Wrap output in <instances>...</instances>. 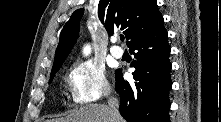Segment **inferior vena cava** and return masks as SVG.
Masks as SVG:
<instances>
[{
	"instance_id": "obj_1",
	"label": "inferior vena cava",
	"mask_w": 221,
	"mask_h": 122,
	"mask_svg": "<svg viewBox=\"0 0 221 122\" xmlns=\"http://www.w3.org/2000/svg\"><path fill=\"white\" fill-rule=\"evenodd\" d=\"M106 93L109 95L111 93V91L107 90ZM108 105H109L110 113H111L113 119H115L117 117V115L119 114V112H118L119 102L115 97H110L108 99Z\"/></svg>"
}]
</instances>
